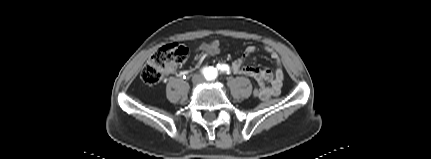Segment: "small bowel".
Masks as SVG:
<instances>
[{
	"mask_svg": "<svg viewBox=\"0 0 431 159\" xmlns=\"http://www.w3.org/2000/svg\"><path fill=\"white\" fill-rule=\"evenodd\" d=\"M209 48L220 49V42L218 40H213L203 43L199 46L198 50L206 54V49ZM265 50L278 65L274 71L270 69H258L246 64L247 60L256 52V47L254 46L246 47L241 57L228 66L229 70L235 74L253 78L258 84L257 88L261 90V93L256 97L262 100H267L273 96L279 95L284 80V73L280 66L278 54L270 46H265ZM170 71H173V68H171Z\"/></svg>",
	"mask_w": 431,
	"mask_h": 159,
	"instance_id": "small-bowel-1",
	"label": "small bowel"
}]
</instances>
